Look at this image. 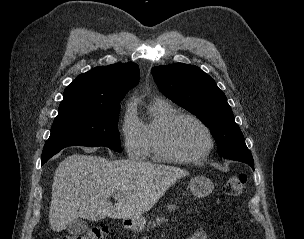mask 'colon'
<instances>
[{
	"instance_id": "obj_1",
	"label": "colon",
	"mask_w": 304,
	"mask_h": 239,
	"mask_svg": "<svg viewBox=\"0 0 304 239\" xmlns=\"http://www.w3.org/2000/svg\"><path fill=\"white\" fill-rule=\"evenodd\" d=\"M247 178L244 174H238L227 179L224 190L227 195L239 196L241 195L246 186ZM108 234L106 227H95L87 230L79 235H68L60 239H105Z\"/></svg>"
}]
</instances>
